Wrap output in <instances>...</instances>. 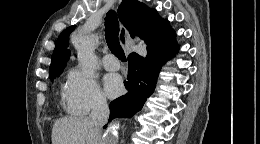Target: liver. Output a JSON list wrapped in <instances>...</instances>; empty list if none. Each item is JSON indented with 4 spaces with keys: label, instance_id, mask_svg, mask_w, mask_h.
<instances>
[{
    "label": "liver",
    "instance_id": "1",
    "mask_svg": "<svg viewBox=\"0 0 260 144\" xmlns=\"http://www.w3.org/2000/svg\"><path fill=\"white\" fill-rule=\"evenodd\" d=\"M99 132L89 117H63L54 122L52 144H97Z\"/></svg>",
    "mask_w": 260,
    "mask_h": 144
}]
</instances>
